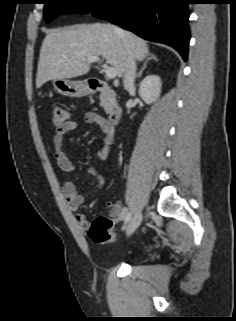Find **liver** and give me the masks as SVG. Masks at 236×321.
Segmentation results:
<instances>
[{
    "label": "liver",
    "mask_w": 236,
    "mask_h": 321,
    "mask_svg": "<svg viewBox=\"0 0 236 321\" xmlns=\"http://www.w3.org/2000/svg\"><path fill=\"white\" fill-rule=\"evenodd\" d=\"M113 27L94 23L49 30L40 50L36 88L49 80L85 75L90 70L88 58L93 56H102L122 77L126 71L127 47ZM124 33L135 60L143 61L149 55L146 41L129 31Z\"/></svg>",
    "instance_id": "obj_1"
}]
</instances>
